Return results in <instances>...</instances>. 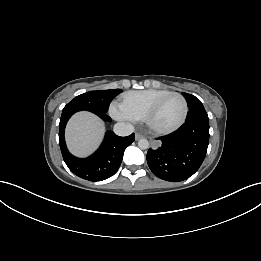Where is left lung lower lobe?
<instances>
[{
  "instance_id": "obj_1",
  "label": "left lung lower lobe",
  "mask_w": 261,
  "mask_h": 261,
  "mask_svg": "<svg viewBox=\"0 0 261 261\" xmlns=\"http://www.w3.org/2000/svg\"><path fill=\"white\" fill-rule=\"evenodd\" d=\"M157 148H150L147 163L159 178L179 182L191 177L201 166L209 143V119L186 121L176 132L159 138Z\"/></svg>"
}]
</instances>
